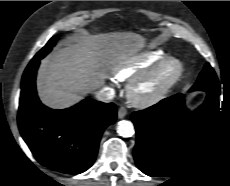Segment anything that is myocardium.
Segmentation results:
<instances>
[{
	"label": "myocardium",
	"instance_id": "1",
	"mask_svg": "<svg viewBox=\"0 0 230 186\" xmlns=\"http://www.w3.org/2000/svg\"><path fill=\"white\" fill-rule=\"evenodd\" d=\"M170 68L171 72L153 91L143 94L140 88L157 77L163 70ZM184 73V66L174 57H164L149 69L133 76L127 86L126 93L129 101L137 107H149L161 101L170 92Z\"/></svg>",
	"mask_w": 230,
	"mask_h": 186
}]
</instances>
